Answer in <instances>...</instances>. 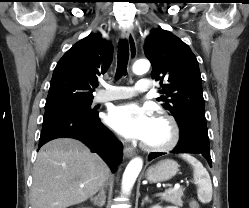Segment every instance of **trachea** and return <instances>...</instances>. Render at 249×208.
Segmentation results:
<instances>
[{"mask_svg": "<svg viewBox=\"0 0 249 208\" xmlns=\"http://www.w3.org/2000/svg\"><path fill=\"white\" fill-rule=\"evenodd\" d=\"M129 58V47L126 40H120L118 45V63L116 78H120L127 73V64Z\"/></svg>", "mask_w": 249, "mask_h": 208, "instance_id": "trachea-1", "label": "trachea"}]
</instances>
